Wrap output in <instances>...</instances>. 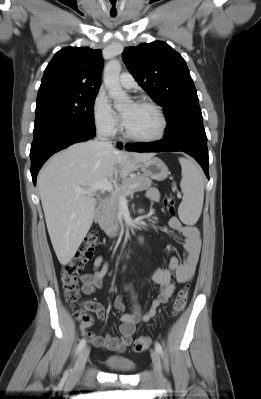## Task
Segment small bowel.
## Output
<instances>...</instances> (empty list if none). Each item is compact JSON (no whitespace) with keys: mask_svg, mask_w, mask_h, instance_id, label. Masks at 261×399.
Masks as SVG:
<instances>
[{"mask_svg":"<svg viewBox=\"0 0 261 399\" xmlns=\"http://www.w3.org/2000/svg\"><path fill=\"white\" fill-rule=\"evenodd\" d=\"M146 197L150 201L157 202L159 200V193L155 188L151 187L146 190ZM169 226L184 237L183 248L186 252V256L183 262H179L176 257H171L168 268H160L153 272L149 281L159 286L160 290L158 297L152 301L149 309L145 313L142 312L133 285L131 283H126L124 289L131 297V313H124L125 304L122 296H117L113 303L114 308L122 312L119 328L120 336H99L87 332L84 328L83 332L89 337L94 346L117 353L125 351L132 342L136 325L140 322H148L154 318L157 307L166 303L173 295L175 290L173 280L175 279L179 283H186L192 279L201 253L202 239L200 231L195 226L182 224L178 217H171ZM108 269V262L104 260L102 255H98L93 261V272L86 273L81 277L82 292L85 295H90L97 288H101ZM87 304L90 310L94 311L100 320H104L105 310L99 303L88 302Z\"/></svg>","mask_w":261,"mask_h":399,"instance_id":"small-bowel-1","label":"small bowel"}]
</instances>
